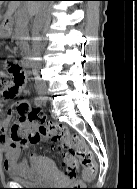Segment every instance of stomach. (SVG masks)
Returning <instances> with one entry per match:
<instances>
[{
  "mask_svg": "<svg viewBox=\"0 0 137 189\" xmlns=\"http://www.w3.org/2000/svg\"><path fill=\"white\" fill-rule=\"evenodd\" d=\"M9 35V31L5 28L0 29V37H6Z\"/></svg>",
  "mask_w": 137,
  "mask_h": 189,
  "instance_id": "1",
  "label": "stomach"
}]
</instances>
